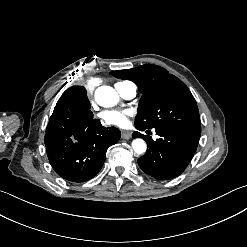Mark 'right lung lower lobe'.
<instances>
[{
  "instance_id": "right-lung-lower-lobe-1",
  "label": "right lung lower lobe",
  "mask_w": 247,
  "mask_h": 247,
  "mask_svg": "<svg viewBox=\"0 0 247 247\" xmlns=\"http://www.w3.org/2000/svg\"><path fill=\"white\" fill-rule=\"evenodd\" d=\"M121 132L103 127L98 119L66 100L57 102L46 128L49 162L62 178L72 182L92 179L101 170L107 149Z\"/></svg>"
}]
</instances>
